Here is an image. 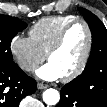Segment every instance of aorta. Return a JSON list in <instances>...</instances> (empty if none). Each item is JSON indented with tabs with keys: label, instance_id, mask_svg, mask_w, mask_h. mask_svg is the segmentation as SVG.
<instances>
[{
	"label": "aorta",
	"instance_id": "762f6f07",
	"mask_svg": "<svg viewBox=\"0 0 107 107\" xmlns=\"http://www.w3.org/2000/svg\"><path fill=\"white\" fill-rule=\"evenodd\" d=\"M60 100V94L56 89L50 88L44 91L43 101L49 105H56Z\"/></svg>",
	"mask_w": 107,
	"mask_h": 107
}]
</instances>
